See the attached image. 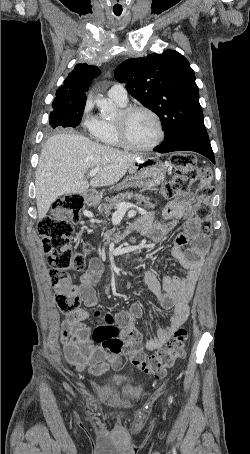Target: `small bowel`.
Here are the masks:
<instances>
[{"label": "small bowel", "mask_w": 250, "mask_h": 454, "mask_svg": "<svg viewBox=\"0 0 250 454\" xmlns=\"http://www.w3.org/2000/svg\"><path fill=\"white\" fill-rule=\"evenodd\" d=\"M192 195L185 193L168 203L162 211V222L153 221L152 217L139 222L136 229L144 236L158 242L166 236L180 219H184V232L179 234L171 248V254L186 269L183 277L163 275L161 281L151 271H146L145 283L165 309H172L173 316L169 322L157 332L153 338H148L145 348L156 351L169 341L175 330L188 317V303L193 296L196 282L203 266V258L208 250V237L198 226V222L191 215ZM189 244L188 248L183 246ZM103 273V265L97 258L89 261L87 269L80 276L78 294L86 308H80L68 314L60 329V342L67 362L76 371H86L90 376H99L110 368L120 369L124 365V358L120 354L108 353L101 346L94 345L90 340V326L84 323L93 313L98 300L94 289L95 284ZM123 314L133 319L143 315L140 303H134L128 311H119L116 318Z\"/></svg>", "instance_id": "small-bowel-1"}]
</instances>
